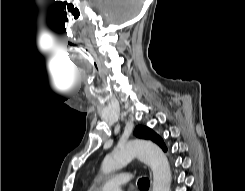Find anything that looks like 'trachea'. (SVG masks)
<instances>
[{"instance_id": "1", "label": "trachea", "mask_w": 245, "mask_h": 191, "mask_svg": "<svg viewBox=\"0 0 245 191\" xmlns=\"http://www.w3.org/2000/svg\"><path fill=\"white\" fill-rule=\"evenodd\" d=\"M82 56L88 61L92 66L97 68V63L94 57L86 50L81 51ZM138 187L140 190L146 191L149 188V179L148 178H140L138 180Z\"/></svg>"}]
</instances>
